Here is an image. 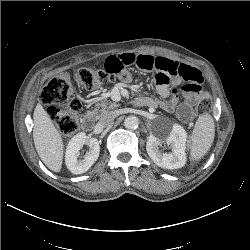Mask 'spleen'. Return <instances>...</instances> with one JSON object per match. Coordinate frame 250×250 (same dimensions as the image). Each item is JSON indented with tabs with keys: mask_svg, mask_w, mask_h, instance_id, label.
Listing matches in <instances>:
<instances>
[{
	"mask_svg": "<svg viewBox=\"0 0 250 250\" xmlns=\"http://www.w3.org/2000/svg\"><path fill=\"white\" fill-rule=\"evenodd\" d=\"M214 134V120L211 115L199 116L191 135L190 157L192 160H199L208 152L213 143Z\"/></svg>",
	"mask_w": 250,
	"mask_h": 250,
	"instance_id": "1",
	"label": "spleen"
}]
</instances>
